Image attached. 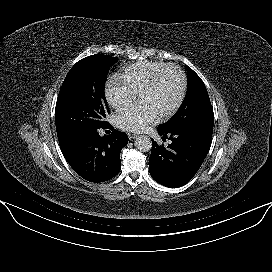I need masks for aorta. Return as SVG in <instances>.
Instances as JSON below:
<instances>
[{"label":"aorta","mask_w":272,"mask_h":272,"mask_svg":"<svg viewBox=\"0 0 272 272\" xmlns=\"http://www.w3.org/2000/svg\"><path fill=\"white\" fill-rule=\"evenodd\" d=\"M135 147L141 152H148L152 148V141L146 135H140L135 139Z\"/></svg>","instance_id":"762f6f07"}]
</instances>
